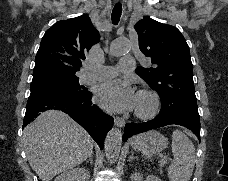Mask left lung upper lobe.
Returning <instances> with one entry per match:
<instances>
[{"label":"left lung upper lobe","mask_w":228,"mask_h":181,"mask_svg":"<svg viewBox=\"0 0 228 181\" xmlns=\"http://www.w3.org/2000/svg\"><path fill=\"white\" fill-rule=\"evenodd\" d=\"M141 52L151 58V67L136 73L160 96L162 118L200 121L189 46L174 26L144 17L134 26Z\"/></svg>","instance_id":"1"}]
</instances>
